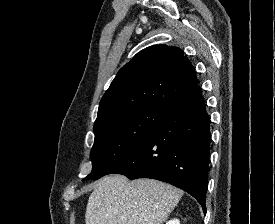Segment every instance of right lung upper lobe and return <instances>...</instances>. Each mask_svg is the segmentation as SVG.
Wrapping results in <instances>:
<instances>
[{"label": "right lung upper lobe", "mask_w": 275, "mask_h": 224, "mask_svg": "<svg viewBox=\"0 0 275 224\" xmlns=\"http://www.w3.org/2000/svg\"><path fill=\"white\" fill-rule=\"evenodd\" d=\"M198 83L182 50L167 45L150 46L119 70L100 101L94 126L142 107L167 110Z\"/></svg>", "instance_id": "obj_1"}]
</instances>
